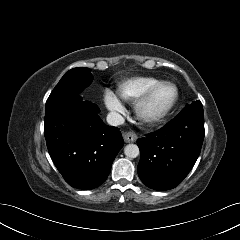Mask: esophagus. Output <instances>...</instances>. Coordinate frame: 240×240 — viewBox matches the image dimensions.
<instances>
[{"label": "esophagus", "instance_id": "1", "mask_svg": "<svg viewBox=\"0 0 240 240\" xmlns=\"http://www.w3.org/2000/svg\"><path fill=\"white\" fill-rule=\"evenodd\" d=\"M138 136L134 132H127L124 134V140L126 143L135 142Z\"/></svg>", "mask_w": 240, "mask_h": 240}]
</instances>
